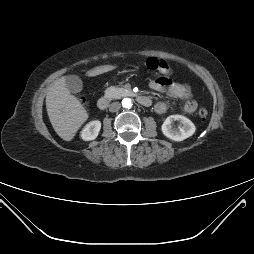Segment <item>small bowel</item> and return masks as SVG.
<instances>
[{"label":"small bowel","mask_w":254,"mask_h":254,"mask_svg":"<svg viewBox=\"0 0 254 254\" xmlns=\"http://www.w3.org/2000/svg\"><path fill=\"white\" fill-rule=\"evenodd\" d=\"M149 87L155 91L166 93L174 99L185 101L183 110L186 113H193L197 109V102L192 99L191 89L186 83L174 82L168 77H159L149 82ZM168 106L165 102H158L154 106V110L158 114L167 111Z\"/></svg>","instance_id":"1"}]
</instances>
